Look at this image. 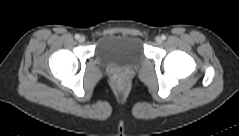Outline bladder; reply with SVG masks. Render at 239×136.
<instances>
[{"instance_id": "31cf9c89", "label": "bladder", "mask_w": 239, "mask_h": 136, "mask_svg": "<svg viewBox=\"0 0 239 136\" xmlns=\"http://www.w3.org/2000/svg\"><path fill=\"white\" fill-rule=\"evenodd\" d=\"M96 57L103 66L136 67L145 58L142 39L130 34H106L97 40Z\"/></svg>"}]
</instances>
